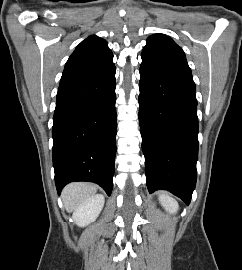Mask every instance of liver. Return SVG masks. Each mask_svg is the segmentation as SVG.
Returning <instances> with one entry per match:
<instances>
[{"label":"liver","mask_w":242,"mask_h":270,"mask_svg":"<svg viewBox=\"0 0 242 270\" xmlns=\"http://www.w3.org/2000/svg\"><path fill=\"white\" fill-rule=\"evenodd\" d=\"M96 190L97 187L89 183H71L67 185L62 192V199L67 212L76 210Z\"/></svg>","instance_id":"6515ba94"}]
</instances>
